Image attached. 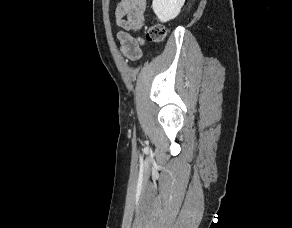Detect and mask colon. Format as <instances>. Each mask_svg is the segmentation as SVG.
I'll return each instance as SVG.
<instances>
[{
  "mask_svg": "<svg viewBox=\"0 0 292 228\" xmlns=\"http://www.w3.org/2000/svg\"><path fill=\"white\" fill-rule=\"evenodd\" d=\"M167 36V29L163 25H153L145 31V37L148 41L154 43L163 42Z\"/></svg>",
  "mask_w": 292,
  "mask_h": 228,
  "instance_id": "5ec220e1",
  "label": "colon"
}]
</instances>
